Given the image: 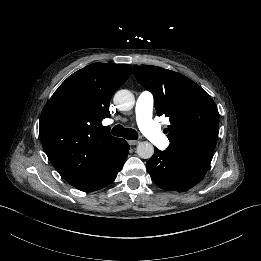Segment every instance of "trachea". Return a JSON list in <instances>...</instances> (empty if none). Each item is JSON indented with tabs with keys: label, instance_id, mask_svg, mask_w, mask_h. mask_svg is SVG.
<instances>
[{
	"label": "trachea",
	"instance_id": "3493384b",
	"mask_svg": "<svg viewBox=\"0 0 261 261\" xmlns=\"http://www.w3.org/2000/svg\"><path fill=\"white\" fill-rule=\"evenodd\" d=\"M111 134L118 137H123L128 140H136L138 134L134 129L125 128L122 125H116L112 128Z\"/></svg>",
	"mask_w": 261,
	"mask_h": 261
}]
</instances>
